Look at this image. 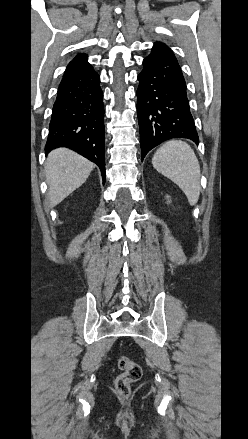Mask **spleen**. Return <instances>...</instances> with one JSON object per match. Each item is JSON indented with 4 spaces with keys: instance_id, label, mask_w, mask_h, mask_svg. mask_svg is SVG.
Here are the masks:
<instances>
[{
    "instance_id": "obj_1",
    "label": "spleen",
    "mask_w": 248,
    "mask_h": 439,
    "mask_svg": "<svg viewBox=\"0 0 248 439\" xmlns=\"http://www.w3.org/2000/svg\"><path fill=\"white\" fill-rule=\"evenodd\" d=\"M153 167L173 181L186 195L190 205L200 195V165L189 144L171 140L163 144L152 158Z\"/></svg>"
}]
</instances>
